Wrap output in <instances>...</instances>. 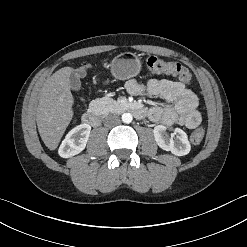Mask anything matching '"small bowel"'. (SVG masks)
Instances as JSON below:
<instances>
[{"instance_id": "1", "label": "small bowel", "mask_w": 247, "mask_h": 247, "mask_svg": "<svg viewBox=\"0 0 247 247\" xmlns=\"http://www.w3.org/2000/svg\"><path fill=\"white\" fill-rule=\"evenodd\" d=\"M132 95L149 94L160 96L167 106H154L148 110V117L153 122L165 125H182L189 129L197 127L201 115L196 110V95L181 82L168 79H150L147 82L131 80L126 85Z\"/></svg>"}]
</instances>
